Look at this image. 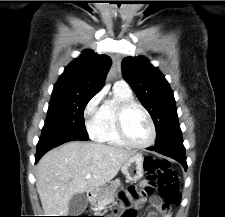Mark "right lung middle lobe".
Instances as JSON below:
<instances>
[{"mask_svg": "<svg viewBox=\"0 0 225 217\" xmlns=\"http://www.w3.org/2000/svg\"><path fill=\"white\" fill-rule=\"evenodd\" d=\"M93 96L52 94L42 136L58 134L89 139L84 109Z\"/></svg>", "mask_w": 225, "mask_h": 217, "instance_id": "dd1d6c3e", "label": "right lung middle lobe"}]
</instances>
